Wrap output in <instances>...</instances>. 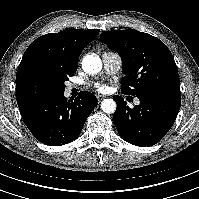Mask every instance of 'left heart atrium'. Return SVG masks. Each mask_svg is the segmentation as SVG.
<instances>
[{
    "label": "left heart atrium",
    "mask_w": 199,
    "mask_h": 199,
    "mask_svg": "<svg viewBox=\"0 0 199 199\" xmlns=\"http://www.w3.org/2000/svg\"><path fill=\"white\" fill-rule=\"evenodd\" d=\"M93 87H94L96 90L100 91V92H105V91L108 89V87H107L106 84L98 83V82L94 83V84H93Z\"/></svg>",
    "instance_id": "39dd6f15"
}]
</instances>
